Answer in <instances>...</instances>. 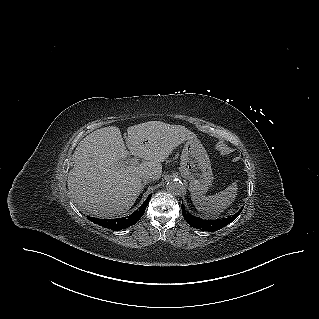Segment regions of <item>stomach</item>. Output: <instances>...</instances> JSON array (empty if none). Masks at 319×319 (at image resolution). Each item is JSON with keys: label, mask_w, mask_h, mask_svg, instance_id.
Wrapping results in <instances>:
<instances>
[{"label": "stomach", "mask_w": 319, "mask_h": 319, "mask_svg": "<svg viewBox=\"0 0 319 319\" xmlns=\"http://www.w3.org/2000/svg\"><path fill=\"white\" fill-rule=\"evenodd\" d=\"M181 175L189 181V190L197 195H203L213 182L208 154L196 138L186 140L180 163Z\"/></svg>", "instance_id": "0dacf381"}]
</instances>
